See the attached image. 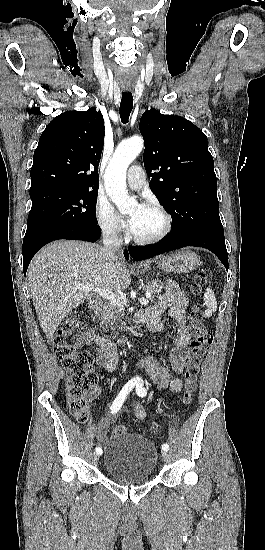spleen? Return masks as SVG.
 Returning <instances> with one entry per match:
<instances>
[{
    "label": "spleen",
    "instance_id": "1",
    "mask_svg": "<svg viewBox=\"0 0 265 550\" xmlns=\"http://www.w3.org/2000/svg\"><path fill=\"white\" fill-rule=\"evenodd\" d=\"M204 301L207 306V309L205 310V315L206 317H210L212 313H214L217 310V301L212 289L210 288L206 289V292L204 294Z\"/></svg>",
    "mask_w": 265,
    "mask_h": 550
}]
</instances>
